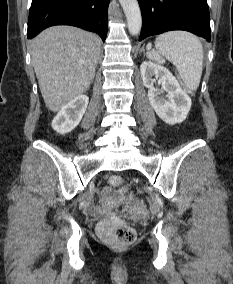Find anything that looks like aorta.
<instances>
[{
	"instance_id": "obj_1",
	"label": "aorta",
	"mask_w": 233,
	"mask_h": 284,
	"mask_svg": "<svg viewBox=\"0 0 233 284\" xmlns=\"http://www.w3.org/2000/svg\"><path fill=\"white\" fill-rule=\"evenodd\" d=\"M127 19L129 33L133 36L140 33L142 16L137 0H119Z\"/></svg>"
}]
</instances>
